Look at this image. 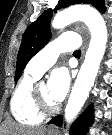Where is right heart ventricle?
Masks as SVG:
<instances>
[{"mask_svg":"<svg viewBox=\"0 0 112 135\" xmlns=\"http://www.w3.org/2000/svg\"><path fill=\"white\" fill-rule=\"evenodd\" d=\"M38 78L25 72L12 93L10 112L13 118L22 125H39L44 119V116L35 109L32 100V89Z\"/></svg>","mask_w":112,"mask_h":135,"instance_id":"obj_1","label":"right heart ventricle"}]
</instances>
